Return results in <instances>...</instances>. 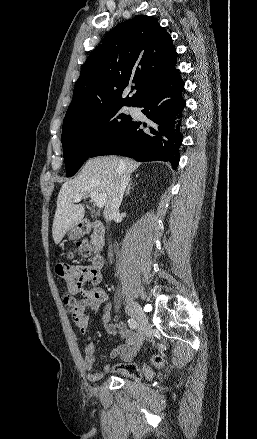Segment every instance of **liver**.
<instances>
[{
	"mask_svg": "<svg viewBox=\"0 0 257 439\" xmlns=\"http://www.w3.org/2000/svg\"><path fill=\"white\" fill-rule=\"evenodd\" d=\"M139 165L133 160L114 156L89 159L78 176L65 182L60 189L52 226L55 244H59L66 232L84 217L85 205L73 203L76 195L80 194L85 199L90 192H96L106 194L109 199L121 175L125 173L130 176Z\"/></svg>",
	"mask_w": 257,
	"mask_h": 439,
	"instance_id": "1",
	"label": "liver"
}]
</instances>
